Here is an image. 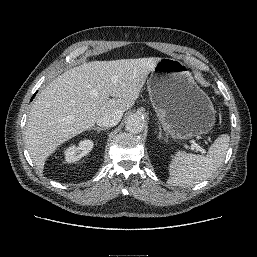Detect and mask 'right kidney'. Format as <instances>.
Returning a JSON list of instances; mask_svg holds the SVG:
<instances>
[{
    "label": "right kidney",
    "mask_w": 257,
    "mask_h": 257,
    "mask_svg": "<svg viewBox=\"0 0 257 257\" xmlns=\"http://www.w3.org/2000/svg\"><path fill=\"white\" fill-rule=\"evenodd\" d=\"M93 141L84 139L78 145H71L65 151V159L68 163H74L87 155L93 148Z\"/></svg>",
    "instance_id": "obj_1"
}]
</instances>
